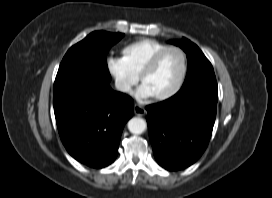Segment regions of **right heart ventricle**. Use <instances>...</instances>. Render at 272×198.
Segmentation results:
<instances>
[{"label":"right heart ventricle","instance_id":"obj_1","mask_svg":"<svg viewBox=\"0 0 272 198\" xmlns=\"http://www.w3.org/2000/svg\"><path fill=\"white\" fill-rule=\"evenodd\" d=\"M167 46L158 40L143 38L124 46L122 55L132 72L139 76L152 56Z\"/></svg>","mask_w":272,"mask_h":198}]
</instances>
